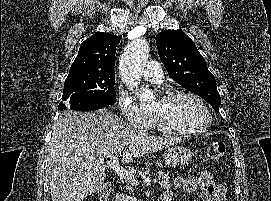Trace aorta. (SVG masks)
Here are the masks:
<instances>
[{
  "mask_svg": "<svg viewBox=\"0 0 271 201\" xmlns=\"http://www.w3.org/2000/svg\"><path fill=\"white\" fill-rule=\"evenodd\" d=\"M149 57V45L144 38L131 41L124 49L120 57V71L126 83L135 89L137 98L143 105L150 104L154 95L149 89L137 90L139 79Z\"/></svg>",
  "mask_w": 271,
  "mask_h": 201,
  "instance_id": "obj_1",
  "label": "aorta"
}]
</instances>
